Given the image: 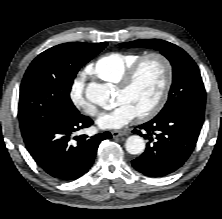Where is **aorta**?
<instances>
[{"label":"aorta","instance_id":"obj_1","mask_svg":"<svg viewBox=\"0 0 222 219\" xmlns=\"http://www.w3.org/2000/svg\"><path fill=\"white\" fill-rule=\"evenodd\" d=\"M111 94L109 85L96 82L90 83L85 91L87 100L102 108H108L112 104ZM125 148L130 154H141L145 149V141L138 135H132L127 138Z\"/></svg>","mask_w":222,"mask_h":219}]
</instances>
